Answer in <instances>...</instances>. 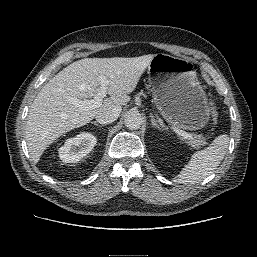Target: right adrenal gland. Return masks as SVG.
Segmentation results:
<instances>
[{"label":"right adrenal gland","instance_id":"1","mask_svg":"<svg viewBox=\"0 0 257 257\" xmlns=\"http://www.w3.org/2000/svg\"><path fill=\"white\" fill-rule=\"evenodd\" d=\"M94 125L98 126V127H104V125H99L96 121L93 122Z\"/></svg>","mask_w":257,"mask_h":257}]
</instances>
